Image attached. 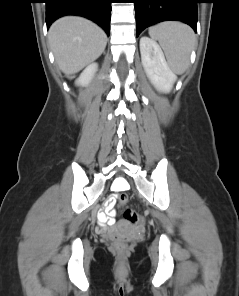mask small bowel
I'll use <instances>...</instances> for the list:
<instances>
[{"instance_id":"c3829d8e","label":"small bowel","mask_w":239,"mask_h":296,"mask_svg":"<svg viewBox=\"0 0 239 296\" xmlns=\"http://www.w3.org/2000/svg\"><path fill=\"white\" fill-rule=\"evenodd\" d=\"M99 218L105 223H111L114 220L115 210L112 203H108L103 212L98 214Z\"/></svg>"}]
</instances>
